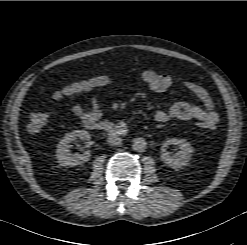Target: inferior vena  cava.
Listing matches in <instances>:
<instances>
[{
  "label": "inferior vena cava",
  "instance_id": "obj_1",
  "mask_svg": "<svg viewBox=\"0 0 247 245\" xmlns=\"http://www.w3.org/2000/svg\"><path fill=\"white\" fill-rule=\"evenodd\" d=\"M122 142L121 138L115 134H111L108 137V143L111 145H120Z\"/></svg>",
  "mask_w": 247,
  "mask_h": 245
}]
</instances>
